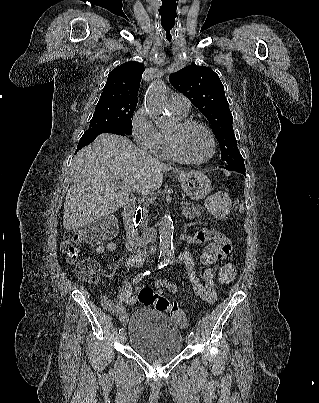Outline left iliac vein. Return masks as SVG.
I'll list each match as a JSON object with an SVG mask.
<instances>
[{"label":"left iliac vein","instance_id":"4c4485c4","mask_svg":"<svg viewBox=\"0 0 319 403\" xmlns=\"http://www.w3.org/2000/svg\"><path fill=\"white\" fill-rule=\"evenodd\" d=\"M186 342H187L188 344H193V343H194V337H193V336H188V337L186 338Z\"/></svg>","mask_w":319,"mask_h":403}]
</instances>
